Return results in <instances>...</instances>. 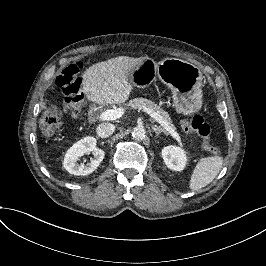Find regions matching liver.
<instances>
[{"mask_svg": "<svg viewBox=\"0 0 266 266\" xmlns=\"http://www.w3.org/2000/svg\"><path fill=\"white\" fill-rule=\"evenodd\" d=\"M148 56H116L90 64L82 73L81 90L87 101L102 106L129 101L135 87L133 74L140 70Z\"/></svg>", "mask_w": 266, "mask_h": 266, "instance_id": "obj_1", "label": "liver"}]
</instances>
